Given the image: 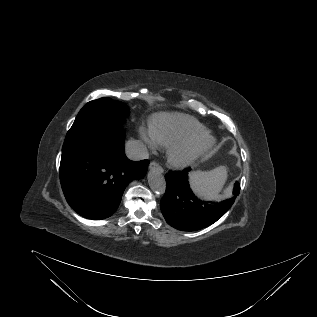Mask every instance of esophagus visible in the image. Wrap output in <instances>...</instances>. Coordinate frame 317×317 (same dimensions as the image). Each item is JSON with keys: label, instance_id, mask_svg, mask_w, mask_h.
Returning a JSON list of instances; mask_svg holds the SVG:
<instances>
[{"label": "esophagus", "instance_id": "34e87169", "mask_svg": "<svg viewBox=\"0 0 317 317\" xmlns=\"http://www.w3.org/2000/svg\"><path fill=\"white\" fill-rule=\"evenodd\" d=\"M149 169L150 170H155V171H157L159 173H163V171H164L162 166L159 163L155 162V161L150 163Z\"/></svg>", "mask_w": 317, "mask_h": 317}]
</instances>
